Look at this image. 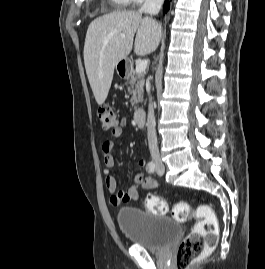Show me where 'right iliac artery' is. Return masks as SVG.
<instances>
[{
	"mask_svg": "<svg viewBox=\"0 0 265 269\" xmlns=\"http://www.w3.org/2000/svg\"><path fill=\"white\" fill-rule=\"evenodd\" d=\"M147 170H148V172L153 173L155 171V163L152 161L149 162L147 164Z\"/></svg>",
	"mask_w": 265,
	"mask_h": 269,
	"instance_id": "1",
	"label": "right iliac artery"
}]
</instances>
